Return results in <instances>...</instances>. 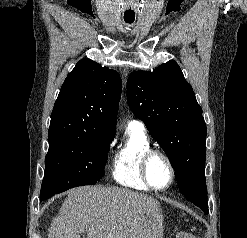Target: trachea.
<instances>
[{"instance_id": "1", "label": "trachea", "mask_w": 247, "mask_h": 238, "mask_svg": "<svg viewBox=\"0 0 247 238\" xmlns=\"http://www.w3.org/2000/svg\"><path fill=\"white\" fill-rule=\"evenodd\" d=\"M126 23H129V24H131V23H133V21H125Z\"/></svg>"}]
</instances>
